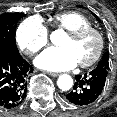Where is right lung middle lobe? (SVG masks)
Returning a JSON list of instances; mask_svg holds the SVG:
<instances>
[{"label":"right lung middle lobe","mask_w":117,"mask_h":117,"mask_svg":"<svg viewBox=\"0 0 117 117\" xmlns=\"http://www.w3.org/2000/svg\"><path fill=\"white\" fill-rule=\"evenodd\" d=\"M23 13H5L0 15V49H15L16 24L24 17Z\"/></svg>","instance_id":"dd1d6c3e"}]
</instances>
